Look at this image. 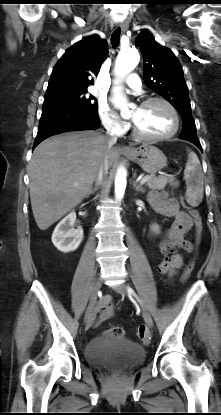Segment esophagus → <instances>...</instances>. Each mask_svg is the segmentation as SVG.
<instances>
[{
  "label": "esophagus",
  "instance_id": "obj_1",
  "mask_svg": "<svg viewBox=\"0 0 221 415\" xmlns=\"http://www.w3.org/2000/svg\"><path fill=\"white\" fill-rule=\"evenodd\" d=\"M128 22H122L119 27L121 29L122 32H126V30L128 29ZM119 150L121 151H130V148L127 146H120Z\"/></svg>",
  "mask_w": 221,
  "mask_h": 415
}]
</instances>
